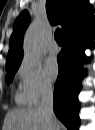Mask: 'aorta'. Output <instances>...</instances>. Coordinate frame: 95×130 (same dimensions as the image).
<instances>
[{"label": "aorta", "mask_w": 95, "mask_h": 130, "mask_svg": "<svg viewBox=\"0 0 95 130\" xmlns=\"http://www.w3.org/2000/svg\"><path fill=\"white\" fill-rule=\"evenodd\" d=\"M43 26L35 20L27 29L24 38V58L31 65L37 64L41 55Z\"/></svg>", "instance_id": "762f6f07"}]
</instances>
